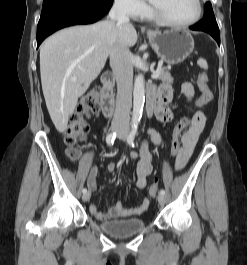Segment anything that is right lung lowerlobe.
I'll return each mask as SVG.
<instances>
[{
	"mask_svg": "<svg viewBox=\"0 0 247 265\" xmlns=\"http://www.w3.org/2000/svg\"><path fill=\"white\" fill-rule=\"evenodd\" d=\"M113 0H44L37 26V47L53 32L72 25L94 23L111 8Z\"/></svg>",
	"mask_w": 247,
	"mask_h": 265,
	"instance_id": "right-lung-lower-lobe-1",
	"label": "right lung lower lobe"
}]
</instances>
